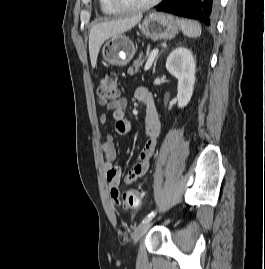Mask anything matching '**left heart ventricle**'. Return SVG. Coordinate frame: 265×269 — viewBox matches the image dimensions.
Segmentation results:
<instances>
[{
	"instance_id": "obj_1",
	"label": "left heart ventricle",
	"mask_w": 265,
	"mask_h": 269,
	"mask_svg": "<svg viewBox=\"0 0 265 269\" xmlns=\"http://www.w3.org/2000/svg\"><path fill=\"white\" fill-rule=\"evenodd\" d=\"M120 1L126 5H139V4L145 3L149 0H120Z\"/></svg>"
}]
</instances>
